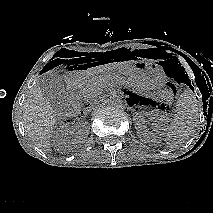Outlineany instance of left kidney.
<instances>
[{
	"instance_id": "1",
	"label": "left kidney",
	"mask_w": 213,
	"mask_h": 213,
	"mask_svg": "<svg viewBox=\"0 0 213 213\" xmlns=\"http://www.w3.org/2000/svg\"><path fill=\"white\" fill-rule=\"evenodd\" d=\"M135 124L137 135L145 140L159 138L163 135L165 128L166 118L163 113L154 111L151 113V118L154 122V130L150 132L145 126V116L141 113L135 114Z\"/></svg>"
}]
</instances>
